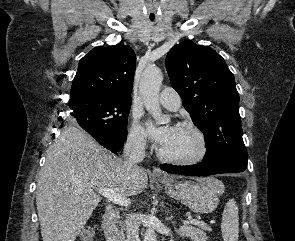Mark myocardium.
Masks as SVG:
<instances>
[{"mask_svg":"<svg viewBox=\"0 0 295 241\" xmlns=\"http://www.w3.org/2000/svg\"><path fill=\"white\" fill-rule=\"evenodd\" d=\"M176 127L180 129L190 130L196 135V138L199 143L198 152L190 158L183 159V158L168 156L160 148L158 150L159 158L165 162H168L174 165H180V166H192L204 161L206 157L208 156L209 149H210L209 142L204 131L199 126L191 122H180L176 125Z\"/></svg>","mask_w":295,"mask_h":241,"instance_id":"f54148a6","label":"myocardium"}]
</instances>
